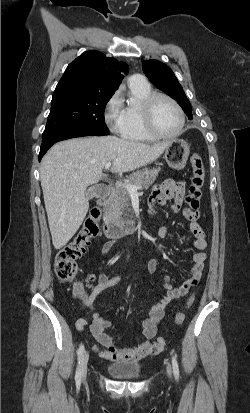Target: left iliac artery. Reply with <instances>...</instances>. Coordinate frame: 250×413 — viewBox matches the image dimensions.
<instances>
[{
    "mask_svg": "<svg viewBox=\"0 0 250 413\" xmlns=\"http://www.w3.org/2000/svg\"><path fill=\"white\" fill-rule=\"evenodd\" d=\"M172 366L175 378L179 379V367L175 356L172 357Z\"/></svg>",
    "mask_w": 250,
    "mask_h": 413,
    "instance_id": "1",
    "label": "left iliac artery"
}]
</instances>
